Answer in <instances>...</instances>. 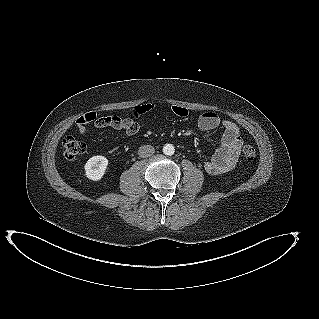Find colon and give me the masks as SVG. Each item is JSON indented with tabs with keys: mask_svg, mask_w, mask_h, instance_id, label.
Listing matches in <instances>:
<instances>
[{
	"mask_svg": "<svg viewBox=\"0 0 319 319\" xmlns=\"http://www.w3.org/2000/svg\"><path fill=\"white\" fill-rule=\"evenodd\" d=\"M95 115L94 113H88L85 114L84 116H81L77 120V124H87L88 122H91L94 119ZM63 148H64V156L67 159H74L78 155L82 154L85 152V144L75 138L74 136H66L63 140ZM243 155L246 159L252 160L256 156V149L249 144H246L243 147Z\"/></svg>",
	"mask_w": 319,
	"mask_h": 319,
	"instance_id": "5ec220e1",
	"label": "colon"
}]
</instances>
